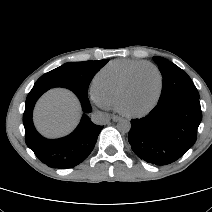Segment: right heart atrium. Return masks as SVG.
Returning a JSON list of instances; mask_svg holds the SVG:
<instances>
[{"label":"right heart atrium","instance_id":"d8ad5b80","mask_svg":"<svg viewBox=\"0 0 212 212\" xmlns=\"http://www.w3.org/2000/svg\"><path fill=\"white\" fill-rule=\"evenodd\" d=\"M90 100L98 108L107 110L111 107L108 100L93 86L90 90Z\"/></svg>","mask_w":212,"mask_h":212}]
</instances>
